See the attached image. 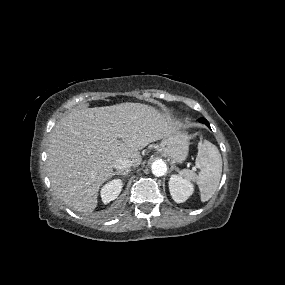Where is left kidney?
I'll list each match as a JSON object with an SVG mask.
<instances>
[{"instance_id":"5707ae66","label":"left kidney","mask_w":285,"mask_h":285,"mask_svg":"<svg viewBox=\"0 0 285 285\" xmlns=\"http://www.w3.org/2000/svg\"><path fill=\"white\" fill-rule=\"evenodd\" d=\"M169 190L176 203L185 202L193 193V185L179 175H172L169 180Z\"/></svg>"}]
</instances>
